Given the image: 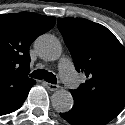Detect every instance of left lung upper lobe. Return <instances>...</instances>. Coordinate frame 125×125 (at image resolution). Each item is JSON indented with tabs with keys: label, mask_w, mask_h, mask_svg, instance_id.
Returning a JSON list of instances; mask_svg holds the SVG:
<instances>
[{
	"label": "left lung upper lobe",
	"mask_w": 125,
	"mask_h": 125,
	"mask_svg": "<svg viewBox=\"0 0 125 125\" xmlns=\"http://www.w3.org/2000/svg\"><path fill=\"white\" fill-rule=\"evenodd\" d=\"M76 70L88 80L71 92L83 101L125 104V47L106 27L83 18H58Z\"/></svg>",
	"instance_id": "left-lung-upper-lobe-1"
}]
</instances>
